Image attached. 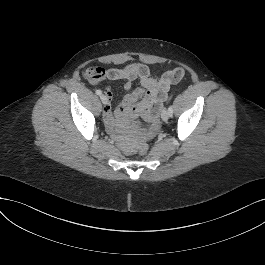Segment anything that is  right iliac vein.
I'll return each instance as SVG.
<instances>
[{"mask_svg":"<svg viewBox=\"0 0 265 265\" xmlns=\"http://www.w3.org/2000/svg\"><path fill=\"white\" fill-rule=\"evenodd\" d=\"M100 99H101L103 104L106 105L108 103V99H107V97L105 95H101Z\"/></svg>","mask_w":265,"mask_h":265,"instance_id":"obj_1","label":"right iliac vein"}]
</instances>
